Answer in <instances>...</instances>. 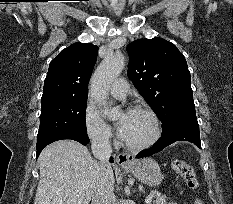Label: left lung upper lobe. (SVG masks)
I'll use <instances>...</instances> for the list:
<instances>
[{
  "instance_id": "obj_1",
  "label": "left lung upper lobe",
  "mask_w": 233,
  "mask_h": 204,
  "mask_svg": "<svg viewBox=\"0 0 233 204\" xmlns=\"http://www.w3.org/2000/svg\"><path fill=\"white\" fill-rule=\"evenodd\" d=\"M128 77L162 122V133L178 125H198L185 57L162 38L138 39L127 46Z\"/></svg>"
}]
</instances>
